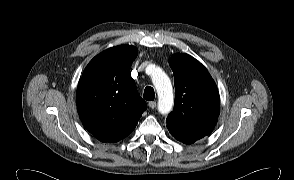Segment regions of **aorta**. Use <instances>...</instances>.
Wrapping results in <instances>:
<instances>
[{
  "instance_id": "aorta-1",
  "label": "aorta",
  "mask_w": 294,
  "mask_h": 180,
  "mask_svg": "<svg viewBox=\"0 0 294 180\" xmlns=\"http://www.w3.org/2000/svg\"><path fill=\"white\" fill-rule=\"evenodd\" d=\"M151 78L158 94V111L161 114H168L174 103L171 81L159 67H154Z\"/></svg>"
}]
</instances>
